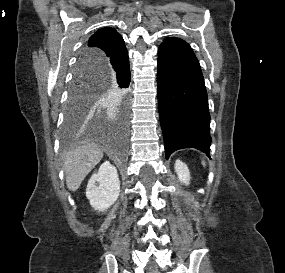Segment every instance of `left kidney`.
<instances>
[{
  "mask_svg": "<svg viewBox=\"0 0 285 273\" xmlns=\"http://www.w3.org/2000/svg\"><path fill=\"white\" fill-rule=\"evenodd\" d=\"M175 172L178 175L179 180L188 185L190 181V172L185 163L180 160H176L175 162Z\"/></svg>",
  "mask_w": 285,
  "mask_h": 273,
  "instance_id": "1",
  "label": "left kidney"
}]
</instances>
